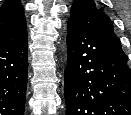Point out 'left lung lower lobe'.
<instances>
[{
    "mask_svg": "<svg viewBox=\"0 0 131 115\" xmlns=\"http://www.w3.org/2000/svg\"><path fill=\"white\" fill-rule=\"evenodd\" d=\"M66 115H131L127 58L74 19L67 24Z\"/></svg>",
    "mask_w": 131,
    "mask_h": 115,
    "instance_id": "obj_1",
    "label": "left lung lower lobe"
}]
</instances>
